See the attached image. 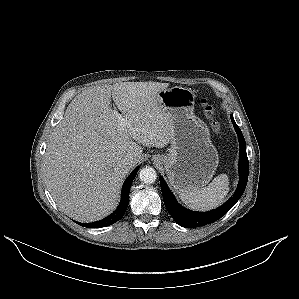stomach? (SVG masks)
<instances>
[{"instance_id": "1", "label": "stomach", "mask_w": 299, "mask_h": 299, "mask_svg": "<svg viewBox=\"0 0 299 299\" xmlns=\"http://www.w3.org/2000/svg\"><path fill=\"white\" fill-rule=\"evenodd\" d=\"M158 99L171 118L173 137L168 153L154 155L153 160L164 165L176 192L200 189L212 179L219 156L207 125L193 113L195 94L175 86L161 90Z\"/></svg>"}]
</instances>
